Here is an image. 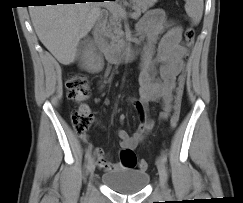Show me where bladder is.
<instances>
[{
  "instance_id": "31cf9c89",
  "label": "bladder",
  "mask_w": 243,
  "mask_h": 203,
  "mask_svg": "<svg viewBox=\"0 0 243 203\" xmlns=\"http://www.w3.org/2000/svg\"><path fill=\"white\" fill-rule=\"evenodd\" d=\"M149 173L144 170L119 168L103 173V183L117 193L131 195L144 189L149 182Z\"/></svg>"
}]
</instances>
